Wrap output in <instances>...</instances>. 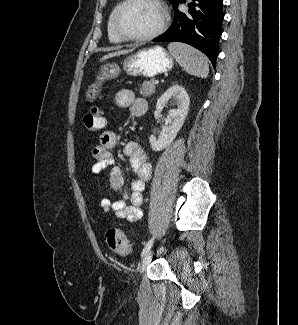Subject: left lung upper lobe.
I'll return each instance as SVG.
<instances>
[{
    "instance_id": "left-lung-upper-lobe-1",
    "label": "left lung upper lobe",
    "mask_w": 298,
    "mask_h": 325,
    "mask_svg": "<svg viewBox=\"0 0 298 325\" xmlns=\"http://www.w3.org/2000/svg\"><path fill=\"white\" fill-rule=\"evenodd\" d=\"M172 4L174 3V2H176L177 0H169Z\"/></svg>"
}]
</instances>
